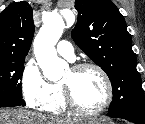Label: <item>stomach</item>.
<instances>
[{
  "label": "stomach",
  "mask_w": 145,
  "mask_h": 124,
  "mask_svg": "<svg viewBox=\"0 0 145 124\" xmlns=\"http://www.w3.org/2000/svg\"><path fill=\"white\" fill-rule=\"evenodd\" d=\"M79 124H106L104 123L103 120L101 119H83V120H80V123ZM111 124V123H109Z\"/></svg>",
  "instance_id": "1"
}]
</instances>
